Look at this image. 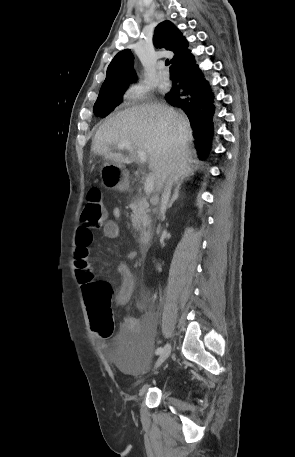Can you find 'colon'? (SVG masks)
Here are the masks:
<instances>
[{"mask_svg":"<svg viewBox=\"0 0 295 457\" xmlns=\"http://www.w3.org/2000/svg\"><path fill=\"white\" fill-rule=\"evenodd\" d=\"M106 222V212L98 188L89 190L80 216L81 226L94 229ZM76 274L83 284V297L93 332L101 339H107L113 331L111 310L112 290L102 281L95 280L87 254L81 253L75 259Z\"/></svg>","mask_w":295,"mask_h":457,"instance_id":"colon-1","label":"colon"}]
</instances>
